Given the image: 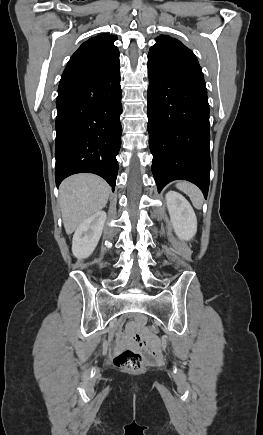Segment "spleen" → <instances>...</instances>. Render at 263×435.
I'll return each mask as SVG.
<instances>
[{
	"label": "spleen",
	"mask_w": 263,
	"mask_h": 435,
	"mask_svg": "<svg viewBox=\"0 0 263 435\" xmlns=\"http://www.w3.org/2000/svg\"><path fill=\"white\" fill-rule=\"evenodd\" d=\"M176 187L187 194L193 204V206L197 209H201L203 204V194L201 190L190 182H178Z\"/></svg>",
	"instance_id": "1"
}]
</instances>
